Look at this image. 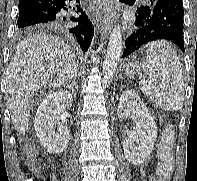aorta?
<instances>
[{"label": "aorta", "mask_w": 197, "mask_h": 181, "mask_svg": "<svg viewBox=\"0 0 197 181\" xmlns=\"http://www.w3.org/2000/svg\"><path fill=\"white\" fill-rule=\"evenodd\" d=\"M121 55H122V34L120 27L117 26L112 30L111 36L109 38L108 47L102 67L103 84L107 88L109 87L114 77Z\"/></svg>", "instance_id": "1"}]
</instances>
